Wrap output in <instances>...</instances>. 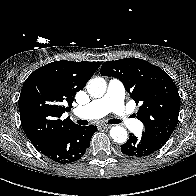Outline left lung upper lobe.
I'll return each mask as SVG.
<instances>
[{
  "label": "left lung upper lobe",
  "mask_w": 196,
  "mask_h": 196,
  "mask_svg": "<svg viewBox=\"0 0 196 196\" xmlns=\"http://www.w3.org/2000/svg\"><path fill=\"white\" fill-rule=\"evenodd\" d=\"M100 73L123 82L136 104H141L137 118L145 126L142 133L164 145L177 125L180 110V97L171 77L138 58L104 62Z\"/></svg>",
  "instance_id": "obj_1"
}]
</instances>
